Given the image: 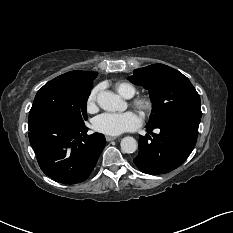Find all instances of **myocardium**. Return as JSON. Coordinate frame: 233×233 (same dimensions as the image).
Returning <instances> with one entry per match:
<instances>
[{"label":"myocardium","mask_w":233,"mask_h":233,"mask_svg":"<svg viewBox=\"0 0 233 233\" xmlns=\"http://www.w3.org/2000/svg\"><path fill=\"white\" fill-rule=\"evenodd\" d=\"M132 105L143 115H148L153 109V102L149 96H138L132 101Z\"/></svg>","instance_id":"1"}]
</instances>
